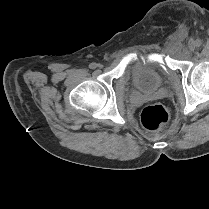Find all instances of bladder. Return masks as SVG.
<instances>
[{
    "label": "bladder",
    "instance_id": "31cf9c89",
    "mask_svg": "<svg viewBox=\"0 0 209 209\" xmlns=\"http://www.w3.org/2000/svg\"><path fill=\"white\" fill-rule=\"evenodd\" d=\"M133 84L146 95L154 94L163 86L164 76L155 62L137 63L131 69Z\"/></svg>",
    "mask_w": 209,
    "mask_h": 209
}]
</instances>
